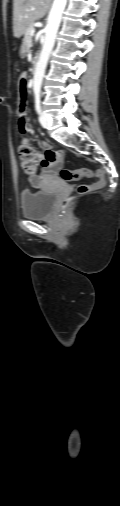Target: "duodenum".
I'll return each mask as SVG.
<instances>
[{
  "label": "duodenum",
  "instance_id": "1",
  "mask_svg": "<svg viewBox=\"0 0 120 506\" xmlns=\"http://www.w3.org/2000/svg\"><path fill=\"white\" fill-rule=\"evenodd\" d=\"M37 64H38V57H35L34 58V66H33L34 72L36 71Z\"/></svg>",
  "mask_w": 120,
  "mask_h": 506
}]
</instances>
